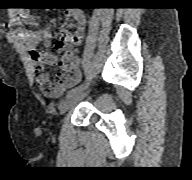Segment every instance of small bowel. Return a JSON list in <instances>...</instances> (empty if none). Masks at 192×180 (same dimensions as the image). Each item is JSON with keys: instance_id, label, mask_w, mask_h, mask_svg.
<instances>
[{"instance_id": "obj_1", "label": "small bowel", "mask_w": 192, "mask_h": 180, "mask_svg": "<svg viewBox=\"0 0 192 180\" xmlns=\"http://www.w3.org/2000/svg\"><path fill=\"white\" fill-rule=\"evenodd\" d=\"M67 16L73 20V31L64 30L55 49L62 52L61 57L48 52H41L40 45L51 46L52 33L48 28L31 31L23 25H37V18L29 9H19L16 12L20 25L18 35L29 49L34 61V73L41 91L49 97L59 98L66 90L77 85L81 79V60L74 54L75 48L82 42L86 29V15L80 9H69ZM58 65L61 68L53 79L48 67Z\"/></svg>"}]
</instances>
